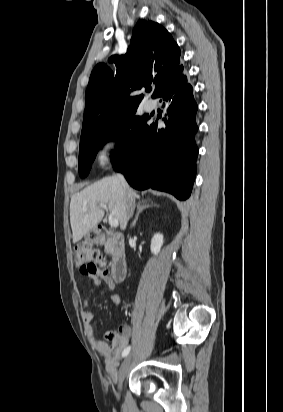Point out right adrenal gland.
Returning a JSON list of instances; mask_svg holds the SVG:
<instances>
[{
	"instance_id": "obj_1",
	"label": "right adrenal gland",
	"mask_w": 283,
	"mask_h": 412,
	"mask_svg": "<svg viewBox=\"0 0 283 412\" xmlns=\"http://www.w3.org/2000/svg\"><path fill=\"white\" fill-rule=\"evenodd\" d=\"M156 204H153V203H151V204H148V203H138L137 204V214H136V217H135V219H134V221H133V223H132V227H134L135 225H136V223H137V221H138V218H139V215H140V213L144 210V209H147V208H149V207H151V206H155Z\"/></svg>"
}]
</instances>
